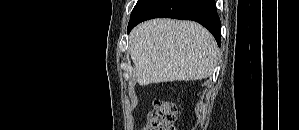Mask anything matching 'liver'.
Instances as JSON below:
<instances>
[{
    "mask_svg": "<svg viewBox=\"0 0 299 130\" xmlns=\"http://www.w3.org/2000/svg\"><path fill=\"white\" fill-rule=\"evenodd\" d=\"M129 51L141 86L208 78L218 56L216 41L207 29L172 19L136 26L129 35Z\"/></svg>",
    "mask_w": 299,
    "mask_h": 130,
    "instance_id": "obj_1",
    "label": "liver"
}]
</instances>
